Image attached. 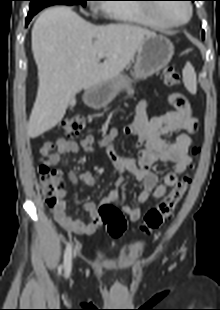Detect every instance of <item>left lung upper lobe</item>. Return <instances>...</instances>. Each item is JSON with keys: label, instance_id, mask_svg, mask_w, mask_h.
<instances>
[{"label": "left lung upper lobe", "instance_id": "5c2ea615", "mask_svg": "<svg viewBox=\"0 0 220 310\" xmlns=\"http://www.w3.org/2000/svg\"><path fill=\"white\" fill-rule=\"evenodd\" d=\"M192 1H195V0H192ZM203 37H204V32H203Z\"/></svg>", "mask_w": 220, "mask_h": 310}]
</instances>
